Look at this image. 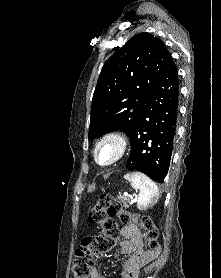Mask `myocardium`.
<instances>
[{"instance_id": "obj_1", "label": "myocardium", "mask_w": 221, "mask_h": 278, "mask_svg": "<svg viewBox=\"0 0 221 278\" xmlns=\"http://www.w3.org/2000/svg\"><path fill=\"white\" fill-rule=\"evenodd\" d=\"M106 142H113L116 146L117 153H116V156L113 158V160H111L110 162L101 163V162H99L98 157H97V150L101 144L106 143ZM127 149H128V142H127L126 137L122 133L108 132V133L102 135L95 143L94 148H93V157H94L95 162L98 165H100L102 167H110V166L117 164L124 158V156L126 155Z\"/></svg>"}]
</instances>
